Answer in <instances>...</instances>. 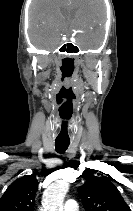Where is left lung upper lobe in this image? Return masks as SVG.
Returning <instances> with one entry per match:
<instances>
[{
	"label": "left lung upper lobe",
	"mask_w": 133,
	"mask_h": 211,
	"mask_svg": "<svg viewBox=\"0 0 133 211\" xmlns=\"http://www.w3.org/2000/svg\"><path fill=\"white\" fill-rule=\"evenodd\" d=\"M87 169L82 176L90 179L78 188L86 211H130L117 187L104 177H94Z\"/></svg>",
	"instance_id": "1"
}]
</instances>
